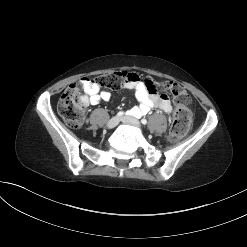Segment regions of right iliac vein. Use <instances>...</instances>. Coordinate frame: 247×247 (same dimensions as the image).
<instances>
[{
	"label": "right iliac vein",
	"instance_id": "63e3f726",
	"mask_svg": "<svg viewBox=\"0 0 247 247\" xmlns=\"http://www.w3.org/2000/svg\"><path fill=\"white\" fill-rule=\"evenodd\" d=\"M119 121H120V118L118 116H115L108 121L107 127L114 128L118 125Z\"/></svg>",
	"mask_w": 247,
	"mask_h": 247
}]
</instances>
